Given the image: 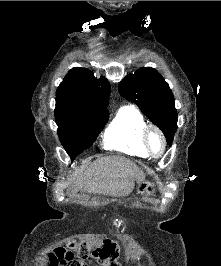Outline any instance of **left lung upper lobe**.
<instances>
[{"instance_id": "obj_1", "label": "left lung upper lobe", "mask_w": 221, "mask_h": 266, "mask_svg": "<svg viewBox=\"0 0 221 266\" xmlns=\"http://www.w3.org/2000/svg\"><path fill=\"white\" fill-rule=\"evenodd\" d=\"M120 94L136 103L140 110L164 133L171 146L177 130V111L172 91L153 68L138 69L119 83Z\"/></svg>"}]
</instances>
